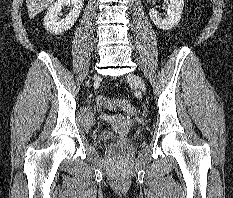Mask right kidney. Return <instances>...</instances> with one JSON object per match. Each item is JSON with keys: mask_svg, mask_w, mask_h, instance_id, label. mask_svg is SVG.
Returning <instances> with one entry per match:
<instances>
[{"mask_svg": "<svg viewBox=\"0 0 233 198\" xmlns=\"http://www.w3.org/2000/svg\"><path fill=\"white\" fill-rule=\"evenodd\" d=\"M84 0H56L44 17L43 25L52 34H61L70 29L77 21L83 8ZM64 6L73 7L65 18L60 19L61 10Z\"/></svg>", "mask_w": 233, "mask_h": 198, "instance_id": "right-kidney-1", "label": "right kidney"}]
</instances>
